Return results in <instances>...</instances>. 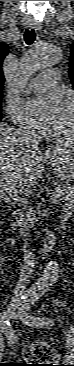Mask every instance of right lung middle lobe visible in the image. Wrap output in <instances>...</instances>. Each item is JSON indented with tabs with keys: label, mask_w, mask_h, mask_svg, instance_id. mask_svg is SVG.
<instances>
[{
	"label": "right lung middle lobe",
	"mask_w": 74,
	"mask_h": 366,
	"mask_svg": "<svg viewBox=\"0 0 74 366\" xmlns=\"http://www.w3.org/2000/svg\"><path fill=\"white\" fill-rule=\"evenodd\" d=\"M1 100H2V92H0V102H1Z\"/></svg>",
	"instance_id": "1"
}]
</instances>
